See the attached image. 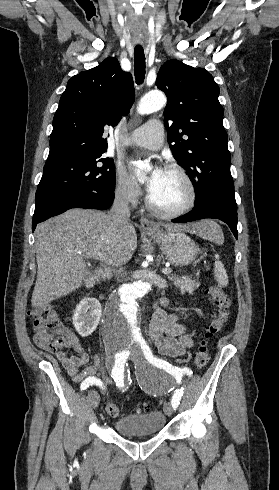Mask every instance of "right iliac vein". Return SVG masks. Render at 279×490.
Here are the masks:
<instances>
[{
  "label": "right iliac vein",
  "instance_id": "1",
  "mask_svg": "<svg viewBox=\"0 0 279 490\" xmlns=\"http://www.w3.org/2000/svg\"><path fill=\"white\" fill-rule=\"evenodd\" d=\"M89 397H90V400H91V403H92V407L94 409L97 408L98 404H99V395L96 391H92L90 394H89Z\"/></svg>",
  "mask_w": 279,
  "mask_h": 490
}]
</instances>
